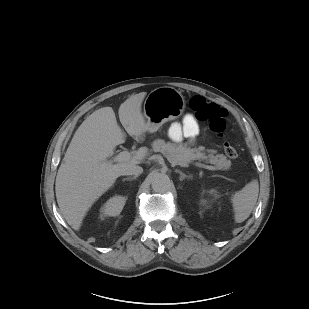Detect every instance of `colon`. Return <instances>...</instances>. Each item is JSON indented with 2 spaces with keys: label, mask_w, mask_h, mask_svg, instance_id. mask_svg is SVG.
<instances>
[{
  "label": "colon",
  "mask_w": 309,
  "mask_h": 309,
  "mask_svg": "<svg viewBox=\"0 0 309 309\" xmlns=\"http://www.w3.org/2000/svg\"><path fill=\"white\" fill-rule=\"evenodd\" d=\"M189 106L196 119L206 122L212 131L219 135L224 132L227 117L224 108L202 96H193ZM224 151L229 158H237L239 155L237 148L230 142L224 143Z\"/></svg>",
  "instance_id": "5ec220e1"
}]
</instances>
